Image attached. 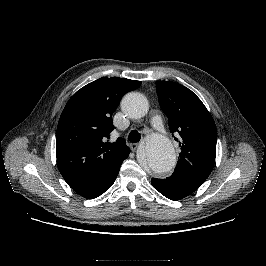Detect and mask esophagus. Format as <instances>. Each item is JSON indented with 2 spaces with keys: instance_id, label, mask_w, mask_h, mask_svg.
<instances>
[{
  "instance_id": "esophagus-1",
  "label": "esophagus",
  "mask_w": 266,
  "mask_h": 266,
  "mask_svg": "<svg viewBox=\"0 0 266 266\" xmlns=\"http://www.w3.org/2000/svg\"><path fill=\"white\" fill-rule=\"evenodd\" d=\"M139 144L138 143H131L130 144V149L134 152L138 148Z\"/></svg>"
}]
</instances>
